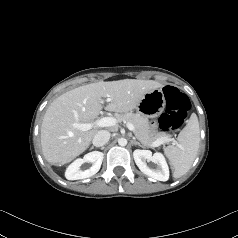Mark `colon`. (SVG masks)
Segmentation results:
<instances>
[{
	"mask_svg": "<svg viewBox=\"0 0 238 238\" xmlns=\"http://www.w3.org/2000/svg\"><path fill=\"white\" fill-rule=\"evenodd\" d=\"M166 100L165 112L159 117V127L163 132L179 129L190 109L189 98L179 89L173 86H166L163 89Z\"/></svg>",
	"mask_w": 238,
	"mask_h": 238,
	"instance_id": "obj_1",
	"label": "colon"
}]
</instances>
